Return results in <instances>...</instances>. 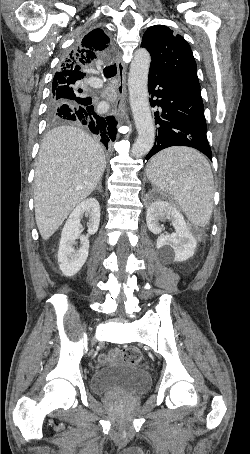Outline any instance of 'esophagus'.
I'll use <instances>...</instances> for the list:
<instances>
[{"mask_svg": "<svg viewBox=\"0 0 250 454\" xmlns=\"http://www.w3.org/2000/svg\"><path fill=\"white\" fill-rule=\"evenodd\" d=\"M118 68L117 85H116V99L113 101L112 111L116 116H120L124 112L125 98H126V65L122 61L121 53L119 52L116 58Z\"/></svg>", "mask_w": 250, "mask_h": 454, "instance_id": "34e87169", "label": "esophagus"}]
</instances>
